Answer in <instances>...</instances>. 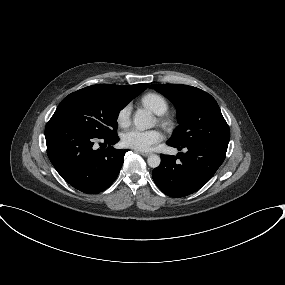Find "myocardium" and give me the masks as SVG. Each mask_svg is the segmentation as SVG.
Segmentation results:
<instances>
[{"label":"myocardium","mask_w":285,"mask_h":285,"mask_svg":"<svg viewBox=\"0 0 285 285\" xmlns=\"http://www.w3.org/2000/svg\"><path fill=\"white\" fill-rule=\"evenodd\" d=\"M160 121L162 122L164 126H167V127H171L173 125V121L169 117L160 118Z\"/></svg>","instance_id":"1"}]
</instances>
